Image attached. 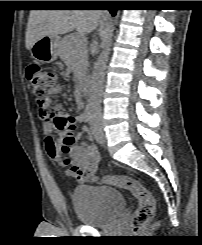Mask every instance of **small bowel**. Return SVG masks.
Segmentation results:
<instances>
[{
  "label": "small bowel",
  "mask_w": 202,
  "mask_h": 245,
  "mask_svg": "<svg viewBox=\"0 0 202 245\" xmlns=\"http://www.w3.org/2000/svg\"><path fill=\"white\" fill-rule=\"evenodd\" d=\"M76 104L78 108H81L82 100L77 98ZM54 112L60 116L64 115L61 105H56L54 107ZM76 120L77 122L84 121L83 115L78 116ZM42 131L45 136L47 152L52 156L51 150L56 149L58 151L62 144L55 140L52 123L43 121ZM83 133L89 137V132L86 127L83 128ZM69 152L74 164L76 165V170H67L66 174L70 177H74L80 182L93 183L96 178V171L99 164V153L97 147L86 141L80 140L79 138H75V143L70 147Z\"/></svg>",
  "instance_id": "obj_1"
}]
</instances>
